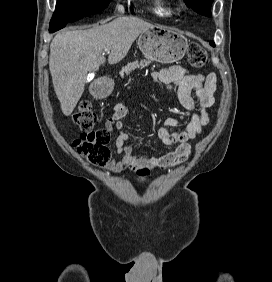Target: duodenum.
Returning <instances> with one entry per match:
<instances>
[{
  "label": "duodenum",
  "mask_w": 272,
  "mask_h": 282,
  "mask_svg": "<svg viewBox=\"0 0 272 282\" xmlns=\"http://www.w3.org/2000/svg\"><path fill=\"white\" fill-rule=\"evenodd\" d=\"M109 80L101 78L91 86V92L96 99H102L107 94Z\"/></svg>",
  "instance_id": "410a0bca"
}]
</instances>
